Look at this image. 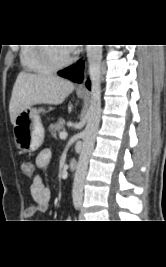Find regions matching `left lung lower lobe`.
<instances>
[{
    "label": "left lung lower lobe",
    "mask_w": 166,
    "mask_h": 267,
    "mask_svg": "<svg viewBox=\"0 0 166 267\" xmlns=\"http://www.w3.org/2000/svg\"><path fill=\"white\" fill-rule=\"evenodd\" d=\"M83 68H84V62L80 61L78 64L72 67L60 70L58 72V75L67 78L69 80H72L74 82L81 83L83 81ZM86 86L88 89H90V81L86 82Z\"/></svg>",
    "instance_id": "obj_1"
}]
</instances>
